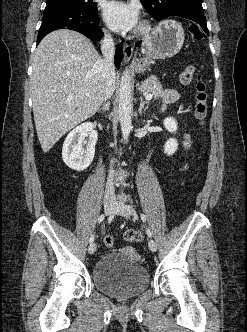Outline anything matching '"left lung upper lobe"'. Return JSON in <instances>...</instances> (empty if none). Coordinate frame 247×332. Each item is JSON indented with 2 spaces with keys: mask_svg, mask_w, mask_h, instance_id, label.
I'll list each match as a JSON object with an SVG mask.
<instances>
[{
  "mask_svg": "<svg viewBox=\"0 0 247 332\" xmlns=\"http://www.w3.org/2000/svg\"><path fill=\"white\" fill-rule=\"evenodd\" d=\"M141 3L158 21L178 11L204 13L202 0H141Z\"/></svg>",
  "mask_w": 247,
  "mask_h": 332,
  "instance_id": "1",
  "label": "left lung upper lobe"
}]
</instances>
